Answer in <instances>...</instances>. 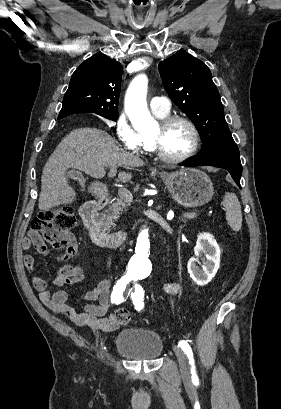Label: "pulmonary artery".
<instances>
[{"instance_id":"obj_1","label":"pulmonary artery","mask_w":281,"mask_h":409,"mask_svg":"<svg viewBox=\"0 0 281 409\" xmlns=\"http://www.w3.org/2000/svg\"><path fill=\"white\" fill-rule=\"evenodd\" d=\"M171 100L169 97H154L151 104V111L159 114H167Z\"/></svg>"}]
</instances>
